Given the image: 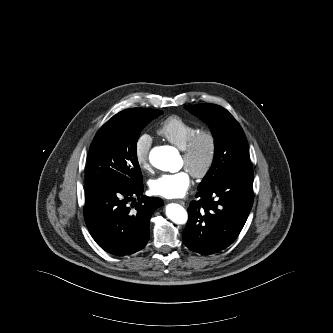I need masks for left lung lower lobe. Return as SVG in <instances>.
I'll list each match as a JSON object with an SVG mask.
<instances>
[{"mask_svg":"<svg viewBox=\"0 0 333 333\" xmlns=\"http://www.w3.org/2000/svg\"><path fill=\"white\" fill-rule=\"evenodd\" d=\"M198 201L188 208L183 231L185 245L200 254H213L228 247L241 232L253 203V171L225 176L198 190Z\"/></svg>","mask_w":333,"mask_h":333,"instance_id":"left-lung-lower-lobe-1","label":"left lung lower lobe"}]
</instances>
